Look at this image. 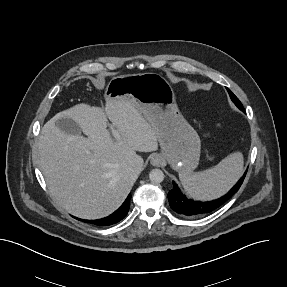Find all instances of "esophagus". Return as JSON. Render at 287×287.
<instances>
[{
  "mask_svg": "<svg viewBox=\"0 0 287 287\" xmlns=\"http://www.w3.org/2000/svg\"><path fill=\"white\" fill-rule=\"evenodd\" d=\"M150 162L153 166H160L162 157L158 154L152 155Z\"/></svg>",
  "mask_w": 287,
  "mask_h": 287,
  "instance_id": "esophagus-1",
  "label": "esophagus"
}]
</instances>
